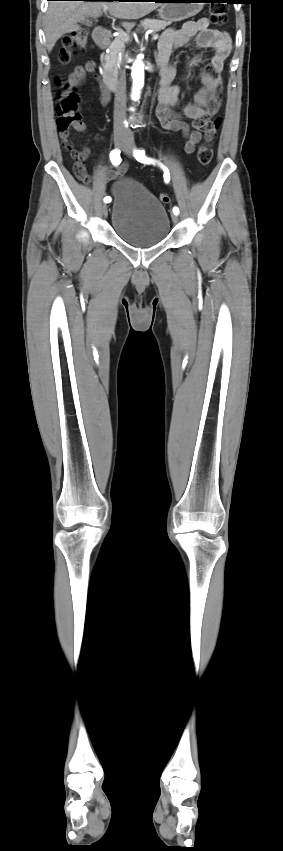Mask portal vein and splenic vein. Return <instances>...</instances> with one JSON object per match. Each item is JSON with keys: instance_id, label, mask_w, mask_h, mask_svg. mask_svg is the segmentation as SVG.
Masks as SVG:
<instances>
[{"instance_id": "obj_1", "label": "portal vein and splenic vein", "mask_w": 283, "mask_h": 851, "mask_svg": "<svg viewBox=\"0 0 283 851\" xmlns=\"http://www.w3.org/2000/svg\"><path fill=\"white\" fill-rule=\"evenodd\" d=\"M107 10H108V7H104V8H103V11H104V12H106ZM120 33H121V36H123V38H125L126 40H128V39H129V35H128L127 33L123 32V31H121V30H120ZM152 39H153V40H157V39H158V35H157V34L153 35V38H152Z\"/></svg>"}]
</instances>
